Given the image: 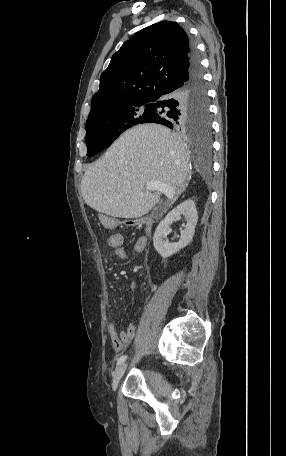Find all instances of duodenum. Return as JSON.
<instances>
[{
	"instance_id": "1",
	"label": "duodenum",
	"mask_w": 286,
	"mask_h": 456,
	"mask_svg": "<svg viewBox=\"0 0 286 456\" xmlns=\"http://www.w3.org/2000/svg\"><path fill=\"white\" fill-rule=\"evenodd\" d=\"M127 223L130 224V226L135 225V221H133V222H127ZM140 223L142 224L144 230H145L146 232H148V226H149L148 223L145 222V221H142V222H140Z\"/></svg>"
}]
</instances>
